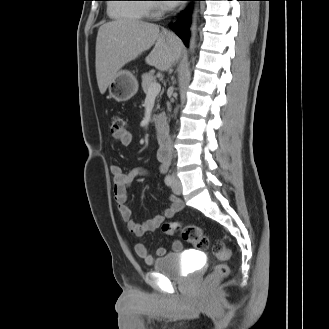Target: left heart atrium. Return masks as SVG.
I'll return each instance as SVG.
<instances>
[{
    "label": "left heart atrium",
    "mask_w": 329,
    "mask_h": 329,
    "mask_svg": "<svg viewBox=\"0 0 329 329\" xmlns=\"http://www.w3.org/2000/svg\"><path fill=\"white\" fill-rule=\"evenodd\" d=\"M168 2H170L171 5H175L176 2H178V0H171V1H168Z\"/></svg>",
    "instance_id": "obj_1"
}]
</instances>
